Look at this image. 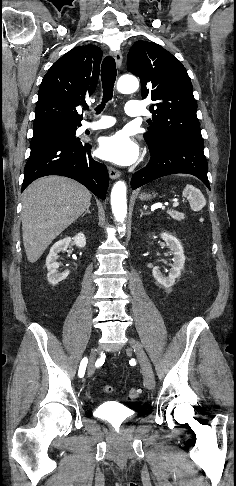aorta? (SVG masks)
<instances>
[{
  "label": "aorta",
  "mask_w": 236,
  "mask_h": 486,
  "mask_svg": "<svg viewBox=\"0 0 236 486\" xmlns=\"http://www.w3.org/2000/svg\"><path fill=\"white\" fill-rule=\"evenodd\" d=\"M138 87V80L130 75L120 77L117 83V90L123 94L133 93ZM111 206L115 219L121 224L119 230L123 231L127 215L126 184L124 181H118L114 184L111 191Z\"/></svg>",
  "instance_id": "762f6f07"
}]
</instances>
